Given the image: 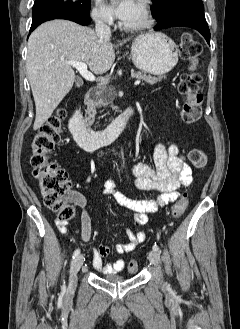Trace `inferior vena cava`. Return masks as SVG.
I'll return each instance as SVG.
<instances>
[{"mask_svg":"<svg viewBox=\"0 0 240 329\" xmlns=\"http://www.w3.org/2000/svg\"><path fill=\"white\" fill-rule=\"evenodd\" d=\"M95 31L97 36L100 39H110L111 37V30L106 20L102 17H97L95 20Z\"/></svg>","mask_w":240,"mask_h":329,"instance_id":"1","label":"inferior vena cava"}]
</instances>
